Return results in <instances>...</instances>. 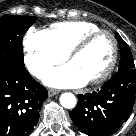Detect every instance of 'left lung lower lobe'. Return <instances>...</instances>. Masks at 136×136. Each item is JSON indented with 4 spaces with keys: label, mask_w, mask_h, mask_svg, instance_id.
<instances>
[{
    "label": "left lung lower lobe",
    "mask_w": 136,
    "mask_h": 136,
    "mask_svg": "<svg viewBox=\"0 0 136 136\" xmlns=\"http://www.w3.org/2000/svg\"><path fill=\"white\" fill-rule=\"evenodd\" d=\"M136 69L118 71L97 92L79 95L70 117L84 133L108 136L127 119L134 104Z\"/></svg>",
    "instance_id": "left-lung-lower-lobe-1"
}]
</instances>
